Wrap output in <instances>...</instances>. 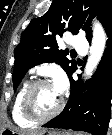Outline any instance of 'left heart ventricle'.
I'll return each instance as SVG.
<instances>
[{"label": "left heart ventricle", "instance_id": "left-heart-ventricle-1", "mask_svg": "<svg viewBox=\"0 0 112 135\" xmlns=\"http://www.w3.org/2000/svg\"><path fill=\"white\" fill-rule=\"evenodd\" d=\"M60 94L52 84L38 87L32 97L36 111L40 114L52 112L60 102Z\"/></svg>", "mask_w": 112, "mask_h": 135}]
</instances>
